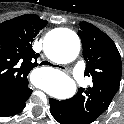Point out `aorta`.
<instances>
[{"label":"aorta","mask_w":124,"mask_h":124,"mask_svg":"<svg viewBox=\"0 0 124 124\" xmlns=\"http://www.w3.org/2000/svg\"><path fill=\"white\" fill-rule=\"evenodd\" d=\"M47 56L59 63L72 62L79 54L80 40L77 34L66 28L55 31L45 40ZM35 85L57 99H68L76 92V84L59 70H48L44 77L35 79Z\"/></svg>","instance_id":"762f6f07"}]
</instances>
